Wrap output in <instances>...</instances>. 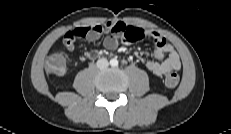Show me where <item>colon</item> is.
<instances>
[{"label": "colon", "instance_id": "5ec220e1", "mask_svg": "<svg viewBox=\"0 0 231 134\" xmlns=\"http://www.w3.org/2000/svg\"><path fill=\"white\" fill-rule=\"evenodd\" d=\"M66 67V57L62 52H57L48 57L46 70L49 73L60 75L64 73ZM179 75L175 72L167 74L164 83L168 88H175L179 83Z\"/></svg>", "mask_w": 231, "mask_h": 134}]
</instances>
